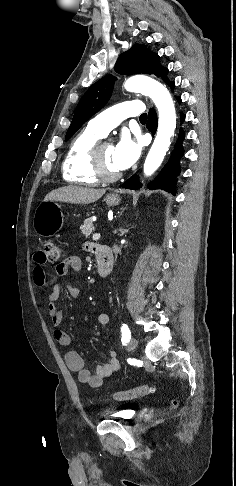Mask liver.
<instances>
[{"label": "liver", "mask_w": 236, "mask_h": 486, "mask_svg": "<svg viewBox=\"0 0 236 486\" xmlns=\"http://www.w3.org/2000/svg\"><path fill=\"white\" fill-rule=\"evenodd\" d=\"M105 189H93L79 186H66L48 193L44 201H60L73 204H89L100 199Z\"/></svg>", "instance_id": "1"}]
</instances>
